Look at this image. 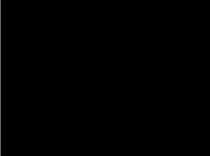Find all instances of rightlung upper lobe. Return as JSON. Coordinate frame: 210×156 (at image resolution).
Instances as JSON below:
<instances>
[{"label":"right lung upper lobe","mask_w":210,"mask_h":156,"mask_svg":"<svg viewBox=\"0 0 210 156\" xmlns=\"http://www.w3.org/2000/svg\"><path fill=\"white\" fill-rule=\"evenodd\" d=\"M79 84L69 72L59 70L42 87L37 117L44 136L57 144L74 143L89 130L90 121L79 107Z\"/></svg>","instance_id":"cb5924a9"}]
</instances>
